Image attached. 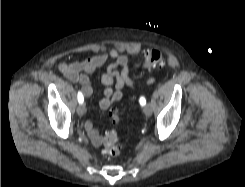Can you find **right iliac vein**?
<instances>
[{
	"label": "right iliac vein",
	"mask_w": 245,
	"mask_h": 187,
	"mask_svg": "<svg viewBox=\"0 0 245 187\" xmlns=\"http://www.w3.org/2000/svg\"><path fill=\"white\" fill-rule=\"evenodd\" d=\"M85 111H86V108H85L84 104H80L77 107V113H78L79 116H83L85 114Z\"/></svg>",
	"instance_id": "63e3f726"
}]
</instances>
